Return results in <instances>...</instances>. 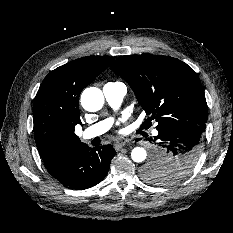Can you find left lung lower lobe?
Returning <instances> with one entry per match:
<instances>
[{
    "label": "left lung lower lobe",
    "instance_id": "left-lung-lower-lobe-1",
    "mask_svg": "<svg viewBox=\"0 0 233 233\" xmlns=\"http://www.w3.org/2000/svg\"><path fill=\"white\" fill-rule=\"evenodd\" d=\"M206 125L178 124L158 129L151 141L157 145L152 161L161 166L176 167L197 162L202 149V133Z\"/></svg>",
    "mask_w": 233,
    "mask_h": 233
}]
</instances>
